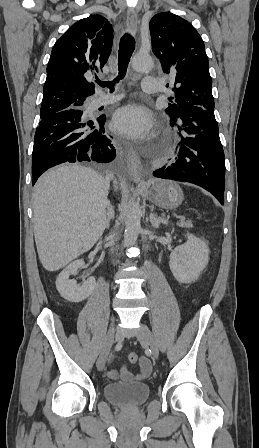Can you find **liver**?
I'll use <instances>...</instances> for the list:
<instances>
[{"mask_svg":"<svg viewBox=\"0 0 259 448\" xmlns=\"http://www.w3.org/2000/svg\"><path fill=\"white\" fill-rule=\"evenodd\" d=\"M108 190L103 176L80 164H61L40 176L32 196V222L45 270H61L101 238Z\"/></svg>","mask_w":259,"mask_h":448,"instance_id":"1","label":"liver"}]
</instances>
